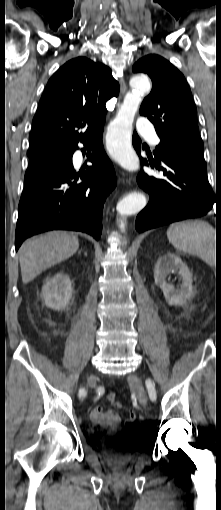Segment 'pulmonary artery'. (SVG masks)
Returning a JSON list of instances; mask_svg holds the SVG:
<instances>
[{
	"mask_svg": "<svg viewBox=\"0 0 221 510\" xmlns=\"http://www.w3.org/2000/svg\"><path fill=\"white\" fill-rule=\"evenodd\" d=\"M137 130L153 146L158 145L159 138L154 131L153 124L146 118H140L137 122Z\"/></svg>",
	"mask_w": 221,
	"mask_h": 510,
	"instance_id": "obj_1",
	"label": "pulmonary artery"
}]
</instances>
